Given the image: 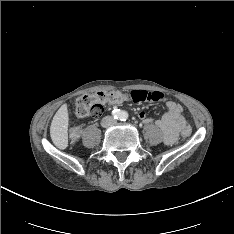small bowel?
<instances>
[{"instance_id":"1","label":"small bowel","mask_w":234,"mask_h":234,"mask_svg":"<svg viewBox=\"0 0 234 234\" xmlns=\"http://www.w3.org/2000/svg\"><path fill=\"white\" fill-rule=\"evenodd\" d=\"M166 107L165 114L158 120L153 121L147 117L145 111L139 112V118L145 123L150 124L154 122L164 133V142L169 145L175 142L178 133L185 128L186 121L183 115L182 107L169 99L163 98Z\"/></svg>"}]
</instances>
